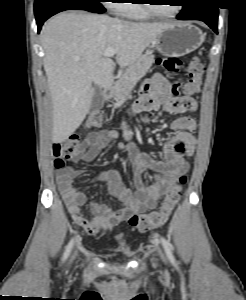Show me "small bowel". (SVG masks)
<instances>
[{
    "label": "small bowel",
    "instance_id": "c3829d8e",
    "mask_svg": "<svg viewBox=\"0 0 246 300\" xmlns=\"http://www.w3.org/2000/svg\"><path fill=\"white\" fill-rule=\"evenodd\" d=\"M178 85L157 73L143 84L140 98L134 103L132 112L162 109L168 114H181L196 109L195 100L187 95H179ZM123 135L127 141L132 137V130L127 120L122 122ZM170 129L174 132L163 148L161 160L137 153L134 146L119 144L128 151L136 166L133 194L122 182L118 169L99 171L95 181L105 182L109 194L119 201L123 208L115 210L107 204L93 203L91 212L93 218L87 220L80 212V207L86 203V195L78 191L73 181L82 171L66 166L56 171V180L61 194L67 204L73 221L82 226L89 234H98L110 230L113 226L126 220L133 212L153 209L157 201L165 194L178 175L188 168L187 158L195 151L194 132L196 122L191 116H180L173 120ZM118 138L115 130H103L90 133L84 140L79 160L93 161L99 152L111 141ZM149 171L154 174V182L146 185L141 179V173Z\"/></svg>",
    "mask_w": 246,
    "mask_h": 300
}]
</instances>
